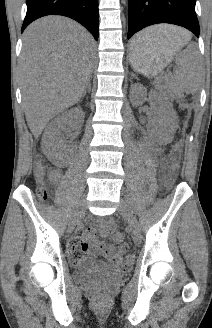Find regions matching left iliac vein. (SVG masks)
I'll return each instance as SVG.
<instances>
[{
    "label": "left iliac vein",
    "instance_id": "1",
    "mask_svg": "<svg viewBox=\"0 0 212 328\" xmlns=\"http://www.w3.org/2000/svg\"><path fill=\"white\" fill-rule=\"evenodd\" d=\"M118 212L121 214V216L127 221L132 234L135 238H139L140 236V225L133 214V211L127 201L125 199H121L119 206H118Z\"/></svg>",
    "mask_w": 212,
    "mask_h": 328
}]
</instances>
